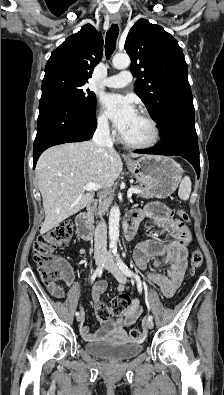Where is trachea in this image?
<instances>
[{
	"label": "trachea",
	"instance_id": "trachea-1",
	"mask_svg": "<svg viewBox=\"0 0 224 395\" xmlns=\"http://www.w3.org/2000/svg\"><path fill=\"white\" fill-rule=\"evenodd\" d=\"M118 34V25L112 24L110 29L106 33L105 53L107 58H109L115 50Z\"/></svg>",
	"mask_w": 224,
	"mask_h": 395
}]
</instances>
